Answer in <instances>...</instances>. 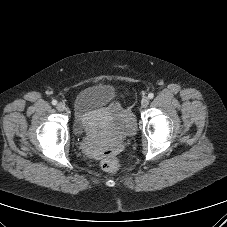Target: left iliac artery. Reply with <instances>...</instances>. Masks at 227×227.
Returning <instances> with one entry per match:
<instances>
[{
	"label": "left iliac artery",
	"mask_w": 227,
	"mask_h": 227,
	"mask_svg": "<svg viewBox=\"0 0 227 227\" xmlns=\"http://www.w3.org/2000/svg\"><path fill=\"white\" fill-rule=\"evenodd\" d=\"M153 97H154V94H153V93H149V94H148V98H149V99H153Z\"/></svg>",
	"instance_id": "obj_1"
}]
</instances>
